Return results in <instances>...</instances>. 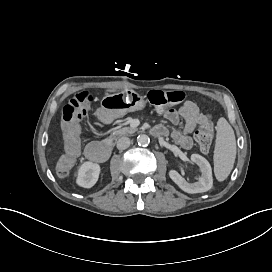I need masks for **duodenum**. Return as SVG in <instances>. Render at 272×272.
<instances>
[{
	"instance_id": "obj_1",
	"label": "duodenum",
	"mask_w": 272,
	"mask_h": 272,
	"mask_svg": "<svg viewBox=\"0 0 272 272\" xmlns=\"http://www.w3.org/2000/svg\"><path fill=\"white\" fill-rule=\"evenodd\" d=\"M109 119V116L106 111L101 110L97 114V120L101 123H106ZM153 134L156 136H160V133L156 130H153ZM112 144L110 142L105 143H90L87 145L85 149L86 157L94 162H105L108 160L112 153Z\"/></svg>"
}]
</instances>
